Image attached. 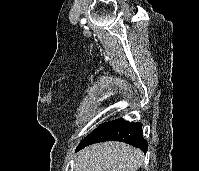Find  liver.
Listing matches in <instances>:
<instances>
[{"label": "liver", "mask_w": 199, "mask_h": 171, "mask_svg": "<svg viewBox=\"0 0 199 171\" xmlns=\"http://www.w3.org/2000/svg\"><path fill=\"white\" fill-rule=\"evenodd\" d=\"M143 153L121 142H104L81 150L76 158L75 171H136Z\"/></svg>", "instance_id": "1"}]
</instances>
